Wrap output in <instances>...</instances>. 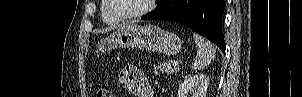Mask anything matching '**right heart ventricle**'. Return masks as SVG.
Instances as JSON below:
<instances>
[{
  "mask_svg": "<svg viewBox=\"0 0 302 97\" xmlns=\"http://www.w3.org/2000/svg\"><path fill=\"white\" fill-rule=\"evenodd\" d=\"M103 7L101 9V18L102 21L109 26H117L120 24V21L114 18L109 12L108 6L105 1H103Z\"/></svg>",
  "mask_w": 302,
  "mask_h": 97,
  "instance_id": "1",
  "label": "right heart ventricle"
}]
</instances>
